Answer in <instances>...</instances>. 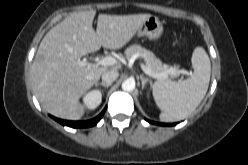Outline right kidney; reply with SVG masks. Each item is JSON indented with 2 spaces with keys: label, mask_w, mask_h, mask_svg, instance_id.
Returning a JSON list of instances; mask_svg holds the SVG:
<instances>
[{
  "label": "right kidney",
  "mask_w": 248,
  "mask_h": 165,
  "mask_svg": "<svg viewBox=\"0 0 248 165\" xmlns=\"http://www.w3.org/2000/svg\"><path fill=\"white\" fill-rule=\"evenodd\" d=\"M101 101L102 94L99 90H92L88 92L83 98L84 106L89 110H94L100 105Z\"/></svg>",
  "instance_id": "ca27d5eb"
}]
</instances>
